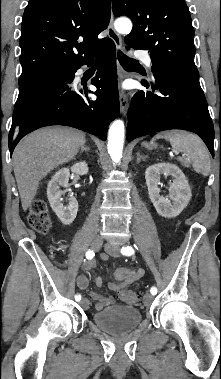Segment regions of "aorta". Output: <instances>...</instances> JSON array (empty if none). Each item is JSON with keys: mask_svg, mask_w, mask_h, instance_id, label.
Instances as JSON below:
<instances>
[{"mask_svg": "<svg viewBox=\"0 0 221 379\" xmlns=\"http://www.w3.org/2000/svg\"><path fill=\"white\" fill-rule=\"evenodd\" d=\"M115 29L119 33H129L132 29V23L128 18H119L115 21ZM124 122L115 120L108 131V153L114 163L120 162L122 158L124 145Z\"/></svg>", "mask_w": 221, "mask_h": 379, "instance_id": "obj_1", "label": "aorta"}]
</instances>
